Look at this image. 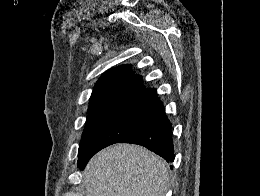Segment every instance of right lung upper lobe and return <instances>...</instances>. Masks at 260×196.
I'll return each instance as SVG.
<instances>
[{"label": "right lung upper lobe", "instance_id": "cb5924a9", "mask_svg": "<svg viewBox=\"0 0 260 196\" xmlns=\"http://www.w3.org/2000/svg\"><path fill=\"white\" fill-rule=\"evenodd\" d=\"M142 82V77L135 75L130 65L109 70L96 83L90 106L133 104L145 108L158 98L155 89H145Z\"/></svg>", "mask_w": 260, "mask_h": 196}]
</instances>
